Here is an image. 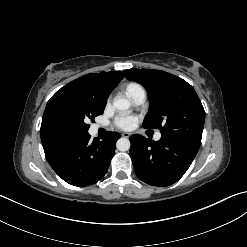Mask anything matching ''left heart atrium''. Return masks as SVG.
<instances>
[{
    "label": "left heart atrium",
    "instance_id": "1",
    "mask_svg": "<svg viewBox=\"0 0 247 247\" xmlns=\"http://www.w3.org/2000/svg\"><path fill=\"white\" fill-rule=\"evenodd\" d=\"M136 122V118L129 115H120L116 119V125L121 129H131Z\"/></svg>",
    "mask_w": 247,
    "mask_h": 247
}]
</instances>
